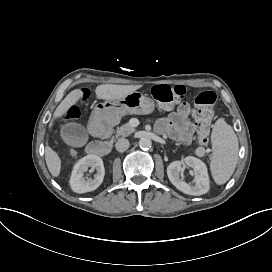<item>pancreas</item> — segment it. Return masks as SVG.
<instances>
[{"label":"pancreas","mask_w":272,"mask_h":272,"mask_svg":"<svg viewBox=\"0 0 272 272\" xmlns=\"http://www.w3.org/2000/svg\"><path fill=\"white\" fill-rule=\"evenodd\" d=\"M110 123L118 124L120 122V118L111 119L109 120ZM135 131V127L130 123L127 122L123 124L120 128L116 130V137L119 138L120 136L126 137Z\"/></svg>","instance_id":"pancreas-1"}]
</instances>
